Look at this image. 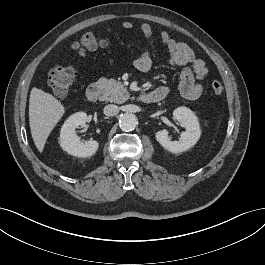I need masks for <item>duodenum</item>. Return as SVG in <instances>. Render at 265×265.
Here are the masks:
<instances>
[{
  "mask_svg": "<svg viewBox=\"0 0 265 265\" xmlns=\"http://www.w3.org/2000/svg\"><path fill=\"white\" fill-rule=\"evenodd\" d=\"M100 96V87L97 84H91L86 90V98L90 102H96ZM165 98L162 91H152L143 93L139 96V100L145 104H153Z\"/></svg>",
  "mask_w": 265,
  "mask_h": 265,
  "instance_id": "1",
  "label": "duodenum"
}]
</instances>
